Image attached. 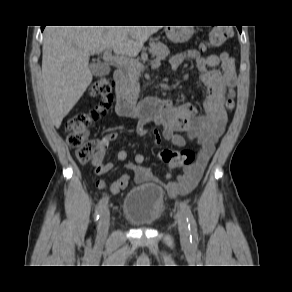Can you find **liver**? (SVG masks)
I'll use <instances>...</instances> for the list:
<instances>
[{
	"instance_id": "obj_1",
	"label": "liver",
	"mask_w": 292,
	"mask_h": 292,
	"mask_svg": "<svg viewBox=\"0 0 292 292\" xmlns=\"http://www.w3.org/2000/svg\"><path fill=\"white\" fill-rule=\"evenodd\" d=\"M160 26H47L42 78L47 108L56 128L92 81L89 56L112 49L135 57Z\"/></svg>"
}]
</instances>
